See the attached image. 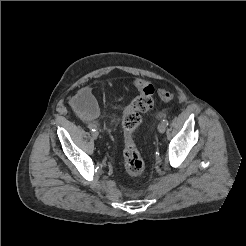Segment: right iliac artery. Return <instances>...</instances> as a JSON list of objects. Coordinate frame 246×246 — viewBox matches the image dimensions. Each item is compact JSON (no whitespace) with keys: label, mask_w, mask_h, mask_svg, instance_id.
Here are the masks:
<instances>
[{"label":"right iliac artery","mask_w":246,"mask_h":246,"mask_svg":"<svg viewBox=\"0 0 246 246\" xmlns=\"http://www.w3.org/2000/svg\"><path fill=\"white\" fill-rule=\"evenodd\" d=\"M88 128H89L91 131H95V130H96V126L93 125V124H89V125H88Z\"/></svg>","instance_id":"1"}]
</instances>
